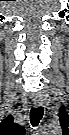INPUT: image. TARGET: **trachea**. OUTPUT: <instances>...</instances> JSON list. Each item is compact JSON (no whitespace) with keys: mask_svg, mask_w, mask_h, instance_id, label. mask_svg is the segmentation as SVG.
<instances>
[{"mask_svg":"<svg viewBox=\"0 0 69 135\" xmlns=\"http://www.w3.org/2000/svg\"><path fill=\"white\" fill-rule=\"evenodd\" d=\"M44 108L38 107V108H32L30 111V122L32 126H37L40 122V120L43 117Z\"/></svg>","mask_w":69,"mask_h":135,"instance_id":"obj_1","label":"trachea"}]
</instances>
